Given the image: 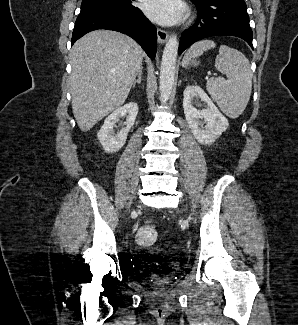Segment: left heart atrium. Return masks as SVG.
<instances>
[{"label": "left heart atrium", "mask_w": 298, "mask_h": 325, "mask_svg": "<svg viewBox=\"0 0 298 325\" xmlns=\"http://www.w3.org/2000/svg\"><path fill=\"white\" fill-rule=\"evenodd\" d=\"M184 6L180 0H146L144 11L153 21L161 25H173L184 14Z\"/></svg>", "instance_id": "obj_1"}]
</instances>
